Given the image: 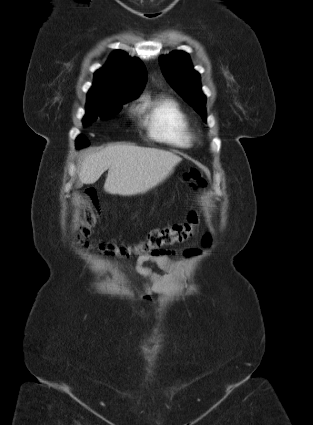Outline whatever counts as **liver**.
<instances>
[{"label": "liver", "mask_w": 313, "mask_h": 425, "mask_svg": "<svg viewBox=\"0 0 313 425\" xmlns=\"http://www.w3.org/2000/svg\"><path fill=\"white\" fill-rule=\"evenodd\" d=\"M182 158L169 151L120 144L85 155L78 172L82 184H94L108 170L104 190L113 195L144 194L162 183Z\"/></svg>", "instance_id": "obj_1"}]
</instances>
